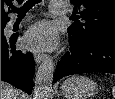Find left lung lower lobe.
Returning a JSON list of instances; mask_svg holds the SVG:
<instances>
[{
    "mask_svg": "<svg viewBox=\"0 0 115 99\" xmlns=\"http://www.w3.org/2000/svg\"><path fill=\"white\" fill-rule=\"evenodd\" d=\"M70 52L58 63L54 80L64 76L104 72L115 74V40H99L77 46L69 38Z\"/></svg>",
    "mask_w": 115,
    "mask_h": 99,
    "instance_id": "left-lung-lower-lobe-1",
    "label": "left lung lower lobe"
}]
</instances>
